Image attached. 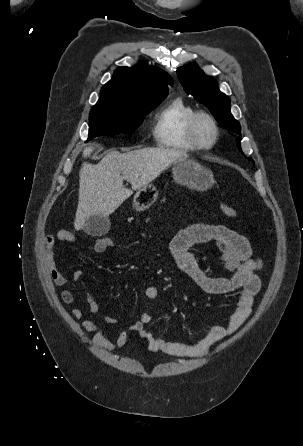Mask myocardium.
Returning a JSON list of instances; mask_svg holds the SVG:
<instances>
[{
	"instance_id": "obj_1",
	"label": "myocardium",
	"mask_w": 303,
	"mask_h": 446,
	"mask_svg": "<svg viewBox=\"0 0 303 446\" xmlns=\"http://www.w3.org/2000/svg\"><path fill=\"white\" fill-rule=\"evenodd\" d=\"M201 118L208 120L213 128V131H214L213 139L209 144H203L197 136L196 126H197V122ZM186 133H187V136H188V139L190 140V142L197 149L209 150V149H212L218 142L219 136H220V129H219L216 119L214 118V116L212 114H210L209 112L204 111V110H197L190 116V118L188 120Z\"/></svg>"
}]
</instances>
